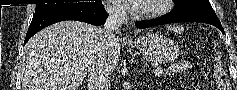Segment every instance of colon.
<instances>
[{
  "instance_id": "5ec220e1",
  "label": "colon",
  "mask_w": 237,
  "mask_h": 90,
  "mask_svg": "<svg viewBox=\"0 0 237 90\" xmlns=\"http://www.w3.org/2000/svg\"><path fill=\"white\" fill-rule=\"evenodd\" d=\"M214 78L217 90H231V84L228 78V74L220 59H217L214 66Z\"/></svg>"
}]
</instances>
